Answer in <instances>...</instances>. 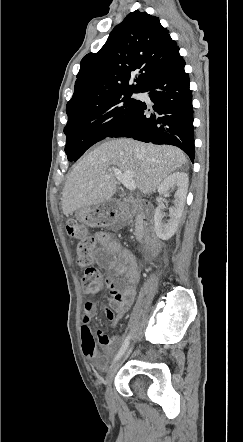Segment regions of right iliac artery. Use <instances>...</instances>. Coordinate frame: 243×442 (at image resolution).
I'll return each instance as SVG.
<instances>
[{
	"mask_svg": "<svg viewBox=\"0 0 243 442\" xmlns=\"http://www.w3.org/2000/svg\"><path fill=\"white\" fill-rule=\"evenodd\" d=\"M129 340H130V335H128V336L126 337V339H125V341L123 342V344H122V346H121L119 352L117 353L116 357L114 358L113 363H115L116 361H118V360L122 357V355L125 353V351H126V349H127V347H128V344H129Z\"/></svg>",
	"mask_w": 243,
	"mask_h": 442,
	"instance_id": "1",
	"label": "right iliac artery"
}]
</instances>
